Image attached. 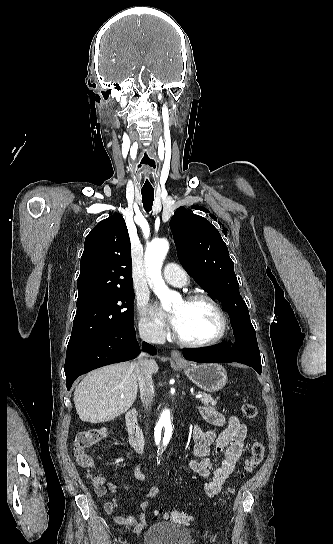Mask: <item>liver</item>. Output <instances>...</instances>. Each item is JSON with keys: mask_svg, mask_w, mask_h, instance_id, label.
Segmentation results:
<instances>
[{"mask_svg": "<svg viewBox=\"0 0 333 544\" xmlns=\"http://www.w3.org/2000/svg\"><path fill=\"white\" fill-rule=\"evenodd\" d=\"M148 367L151 373L159 370L154 360H149ZM137 392L134 364L123 362L88 373L75 389L74 403L83 422L103 423L125 413L133 405Z\"/></svg>", "mask_w": 333, "mask_h": 544, "instance_id": "obj_1", "label": "liver"}]
</instances>
